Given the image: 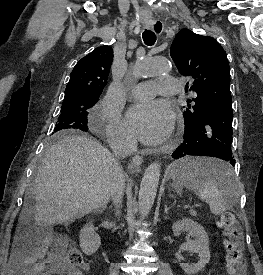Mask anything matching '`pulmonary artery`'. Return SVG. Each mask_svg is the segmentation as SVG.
I'll return each mask as SVG.
<instances>
[{
    "mask_svg": "<svg viewBox=\"0 0 263 275\" xmlns=\"http://www.w3.org/2000/svg\"><path fill=\"white\" fill-rule=\"evenodd\" d=\"M180 82L170 76L158 78L156 81H143L132 90V96L137 100H147L156 95L171 96L178 93Z\"/></svg>",
    "mask_w": 263,
    "mask_h": 275,
    "instance_id": "1",
    "label": "pulmonary artery"
}]
</instances>
